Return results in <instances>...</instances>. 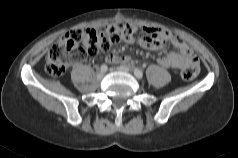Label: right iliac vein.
Here are the masks:
<instances>
[{
  "label": "right iliac vein",
  "instance_id": "1",
  "mask_svg": "<svg viewBox=\"0 0 238 158\" xmlns=\"http://www.w3.org/2000/svg\"><path fill=\"white\" fill-rule=\"evenodd\" d=\"M103 77H104V72H99V73L97 74V79H98V80H102Z\"/></svg>",
  "mask_w": 238,
  "mask_h": 158
}]
</instances>
